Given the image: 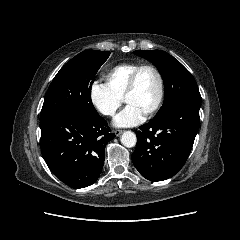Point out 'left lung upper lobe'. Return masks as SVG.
I'll use <instances>...</instances> for the list:
<instances>
[{"label":"left lung upper lobe","instance_id":"5c2ea615","mask_svg":"<svg viewBox=\"0 0 240 240\" xmlns=\"http://www.w3.org/2000/svg\"><path fill=\"white\" fill-rule=\"evenodd\" d=\"M133 53L150 60L162 75L165 96L158 113L183 100L201 102V95L194 77L177 59L161 50H137Z\"/></svg>","mask_w":240,"mask_h":240}]
</instances>
